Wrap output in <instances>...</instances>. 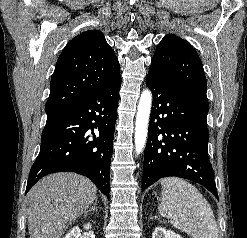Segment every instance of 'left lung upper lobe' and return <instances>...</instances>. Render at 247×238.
I'll return each instance as SVG.
<instances>
[{
	"mask_svg": "<svg viewBox=\"0 0 247 238\" xmlns=\"http://www.w3.org/2000/svg\"><path fill=\"white\" fill-rule=\"evenodd\" d=\"M149 70L208 108L207 83L201 60L184 39L166 35L157 45Z\"/></svg>",
	"mask_w": 247,
	"mask_h": 238,
	"instance_id": "obj_1",
	"label": "left lung upper lobe"
}]
</instances>
